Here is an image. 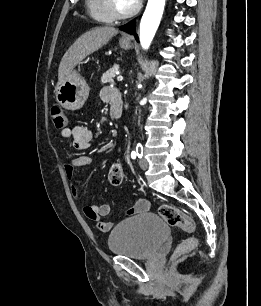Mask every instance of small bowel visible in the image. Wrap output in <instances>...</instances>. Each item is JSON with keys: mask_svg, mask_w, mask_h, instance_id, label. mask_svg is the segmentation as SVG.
Listing matches in <instances>:
<instances>
[{"mask_svg": "<svg viewBox=\"0 0 261 306\" xmlns=\"http://www.w3.org/2000/svg\"><path fill=\"white\" fill-rule=\"evenodd\" d=\"M101 97L103 100L110 102L112 105L116 102L121 104L120 95L115 89L109 87L104 88L101 92ZM61 136L63 139L72 140L73 147L77 150L88 149L93 139L92 131L89 128L80 125L73 128L64 129L61 132ZM91 162V158L86 155L68 159L64 165L67 178L72 179L76 168L89 166ZM72 191L75 196L79 195V189L76 186L72 188ZM148 208V201L145 199H140L131 209H129L128 214H137L146 211ZM83 212L91 221L96 223L99 230L107 232L112 229V222L101 220L102 217L110 214V204L84 206Z\"/></svg>", "mask_w": 261, "mask_h": 306, "instance_id": "c3829d8e", "label": "small bowel"}]
</instances>
